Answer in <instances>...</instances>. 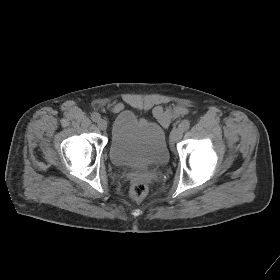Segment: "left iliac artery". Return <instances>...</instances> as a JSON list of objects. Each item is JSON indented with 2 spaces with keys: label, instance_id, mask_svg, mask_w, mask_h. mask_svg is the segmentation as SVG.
I'll return each instance as SVG.
<instances>
[{
  "label": "left iliac artery",
  "instance_id": "left-iliac-artery-1",
  "mask_svg": "<svg viewBox=\"0 0 280 280\" xmlns=\"http://www.w3.org/2000/svg\"><path fill=\"white\" fill-rule=\"evenodd\" d=\"M179 127H180L183 131L188 130L189 127H190V122H189V120H183V121L180 123Z\"/></svg>",
  "mask_w": 280,
  "mask_h": 280
}]
</instances>
